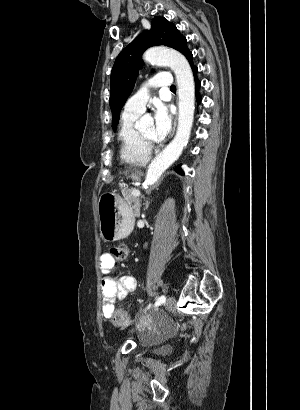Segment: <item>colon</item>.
Returning <instances> with one entry per match:
<instances>
[{
    "instance_id": "colon-1",
    "label": "colon",
    "mask_w": 300,
    "mask_h": 410,
    "mask_svg": "<svg viewBox=\"0 0 300 410\" xmlns=\"http://www.w3.org/2000/svg\"><path fill=\"white\" fill-rule=\"evenodd\" d=\"M111 255L116 260H125L129 255V248L127 245H115L110 249ZM111 322L116 326H127L131 323L128 314L122 309H116L110 314Z\"/></svg>"
}]
</instances>
